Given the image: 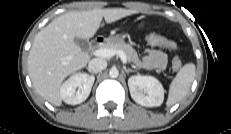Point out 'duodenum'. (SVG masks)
I'll return each mask as SVG.
<instances>
[{
  "label": "duodenum",
  "mask_w": 231,
  "mask_h": 134,
  "mask_svg": "<svg viewBox=\"0 0 231 134\" xmlns=\"http://www.w3.org/2000/svg\"><path fill=\"white\" fill-rule=\"evenodd\" d=\"M104 41H105L104 38L98 37L92 41V45L93 47H99L104 43Z\"/></svg>",
  "instance_id": "410a0bca"
}]
</instances>
